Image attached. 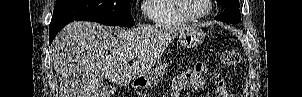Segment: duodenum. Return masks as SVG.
I'll return each mask as SVG.
<instances>
[{
    "instance_id": "obj_1",
    "label": "duodenum",
    "mask_w": 302,
    "mask_h": 97,
    "mask_svg": "<svg viewBox=\"0 0 302 97\" xmlns=\"http://www.w3.org/2000/svg\"><path fill=\"white\" fill-rule=\"evenodd\" d=\"M133 85L135 87L142 86L143 85V81L141 79H137V80L134 81Z\"/></svg>"
}]
</instances>
